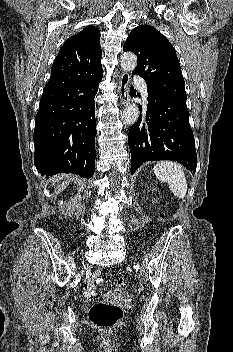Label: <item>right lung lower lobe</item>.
Here are the masks:
<instances>
[{
    "mask_svg": "<svg viewBox=\"0 0 233 352\" xmlns=\"http://www.w3.org/2000/svg\"><path fill=\"white\" fill-rule=\"evenodd\" d=\"M103 71L66 88L44 91L36 114L34 164L41 175L95 170V95Z\"/></svg>",
    "mask_w": 233,
    "mask_h": 352,
    "instance_id": "1",
    "label": "right lung lower lobe"
}]
</instances>
